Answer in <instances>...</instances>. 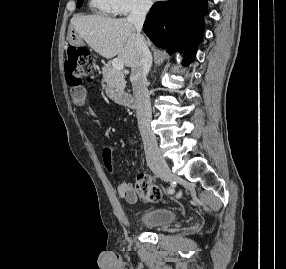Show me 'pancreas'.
<instances>
[{"label":"pancreas","mask_w":286,"mask_h":269,"mask_svg":"<svg viewBox=\"0 0 286 269\" xmlns=\"http://www.w3.org/2000/svg\"><path fill=\"white\" fill-rule=\"evenodd\" d=\"M102 86L106 95L115 102H120L124 97L126 87L125 76L122 71L116 70L110 64L102 68Z\"/></svg>","instance_id":"1"}]
</instances>
